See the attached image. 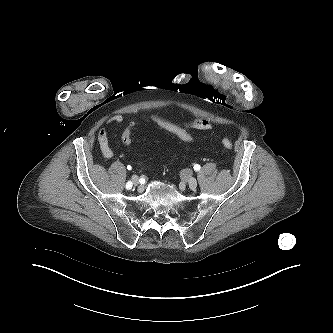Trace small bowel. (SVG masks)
I'll list each match as a JSON object with an SVG mask.
<instances>
[{
  "label": "small bowel",
  "instance_id": "obj_1",
  "mask_svg": "<svg viewBox=\"0 0 333 333\" xmlns=\"http://www.w3.org/2000/svg\"><path fill=\"white\" fill-rule=\"evenodd\" d=\"M122 122L123 116L120 114L113 115L107 120V123L110 125H120ZM182 124L185 128L192 130L209 131L212 129L211 122L205 119L183 122ZM97 139L104 157L111 158L113 156V151L109 146L107 131L105 129H101L97 134Z\"/></svg>",
  "mask_w": 333,
  "mask_h": 333
}]
</instances>
